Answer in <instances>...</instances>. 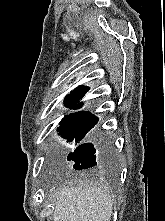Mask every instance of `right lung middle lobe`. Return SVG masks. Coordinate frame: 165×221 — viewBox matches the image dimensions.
I'll return each instance as SVG.
<instances>
[{
    "instance_id": "1",
    "label": "right lung middle lobe",
    "mask_w": 165,
    "mask_h": 221,
    "mask_svg": "<svg viewBox=\"0 0 165 221\" xmlns=\"http://www.w3.org/2000/svg\"><path fill=\"white\" fill-rule=\"evenodd\" d=\"M97 122L98 118L92 114L72 113L66 115L60 122L58 131L59 134L69 141H72L74 138L78 141L81 140Z\"/></svg>"
}]
</instances>
